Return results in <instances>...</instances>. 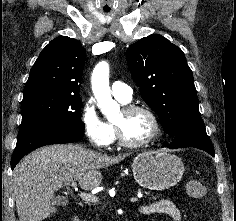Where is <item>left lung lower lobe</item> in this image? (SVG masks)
<instances>
[{"instance_id":"1","label":"left lung lower lobe","mask_w":236,"mask_h":221,"mask_svg":"<svg viewBox=\"0 0 236 221\" xmlns=\"http://www.w3.org/2000/svg\"><path fill=\"white\" fill-rule=\"evenodd\" d=\"M168 148L195 147L214 156V148L205 129H189L175 136Z\"/></svg>"}]
</instances>
